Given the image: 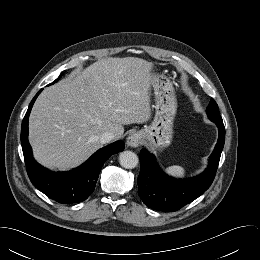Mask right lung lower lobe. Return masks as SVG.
Returning a JSON list of instances; mask_svg holds the SVG:
<instances>
[{"label": "right lung lower lobe", "mask_w": 260, "mask_h": 260, "mask_svg": "<svg viewBox=\"0 0 260 260\" xmlns=\"http://www.w3.org/2000/svg\"><path fill=\"white\" fill-rule=\"evenodd\" d=\"M42 90L31 101L21 127V144L28 176L38 190L59 203L82 202L93 192L106 159L110 155L123 151L124 142L117 141L98 150L84 164L72 171L53 173L45 169L34 160L28 141L29 114Z\"/></svg>", "instance_id": "obj_1"}]
</instances>
